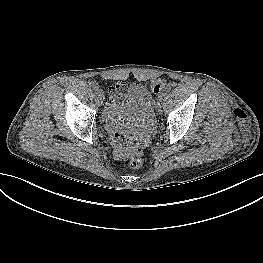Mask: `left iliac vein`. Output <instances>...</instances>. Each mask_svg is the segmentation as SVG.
<instances>
[{
	"mask_svg": "<svg viewBox=\"0 0 263 263\" xmlns=\"http://www.w3.org/2000/svg\"><path fill=\"white\" fill-rule=\"evenodd\" d=\"M153 100H154V102H155L156 104H159V103L162 101V98H161L160 96H158V95H155V96L153 97Z\"/></svg>",
	"mask_w": 263,
	"mask_h": 263,
	"instance_id": "left-iliac-vein-1",
	"label": "left iliac vein"
}]
</instances>
